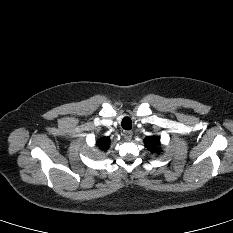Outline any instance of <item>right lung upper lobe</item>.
<instances>
[{
  "instance_id": "cb5924a9",
  "label": "right lung upper lobe",
  "mask_w": 233,
  "mask_h": 233,
  "mask_svg": "<svg viewBox=\"0 0 233 233\" xmlns=\"http://www.w3.org/2000/svg\"><path fill=\"white\" fill-rule=\"evenodd\" d=\"M110 139L108 137H103L97 142L98 147L101 150H107L109 147Z\"/></svg>"
}]
</instances>
